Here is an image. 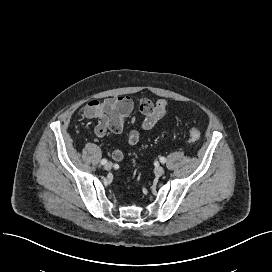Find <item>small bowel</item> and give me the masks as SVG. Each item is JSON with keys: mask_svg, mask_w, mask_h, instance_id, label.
Wrapping results in <instances>:
<instances>
[{"mask_svg": "<svg viewBox=\"0 0 272 272\" xmlns=\"http://www.w3.org/2000/svg\"><path fill=\"white\" fill-rule=\"evenodd\" d=\"M106 106L113 108L123 121L131 114L133 109V103L129 97L118 96L107 98L103 101H90L84 106L82 114L88 118L98 119L99 112ZM139 109L142 114V119L138 124L140 129L150 130L167 116L169 105L166 99H158L153 102L148 98H144L140 101ZM131 122L135 123V119L132 118ZM121 127L114 131H120ZM96 132L98 135H103L105 133L100 130L99 124L96 128ZM139 138V132L137 130H131L127 138V144L129 146H134L138 143ZM111 155L116 161H121L124 157V154L120 149H114Z\"/></svg>", "mask_w": 272, "mask_h": 272, "instance_id": "1", "label": "small bowel"}]
</instances>
